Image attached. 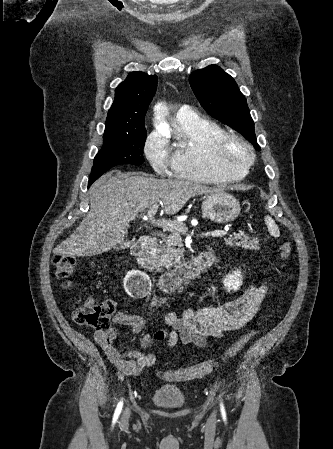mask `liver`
Instances as JSON below:
<instances>
[{"label": "liver", "mask_w": 333, "mask_h": 449, "mask_svg": "<svg viewBox=\"0 0 333 449\" xmlns=\"http://www.w3.org/2000/svg\"><path fill=\"white\" fill-rule=\"evenodd\" d=\"M216 191L197 183L110 171L91 186L90 211L55 252L67 256L102 254L121 244L130 222L153 204L163 202L165 214L174 215L190 198Z\"/></svg>", "instance_id": "obj_1"}]
</instances>
